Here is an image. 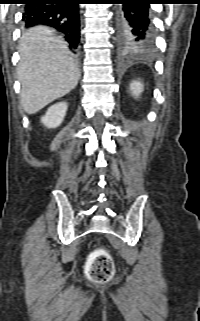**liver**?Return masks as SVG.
<instances>
[{"label": "liver", "instance_id": "6515ba94", "mask_svg": "<svg viewBox=\"0 0 200 321\" xmlns=\"http://www.w3.org/2000/svg\"><path fill=\"white\" fill-rule=\"evenodd\" d=\"M19 53L20 103L26 113L40 111L77 86V63L67 43L49 28L38 26L23 34Z\"/></svg>", "mask_w": 200, "mask_h": 321}]
</instances>
